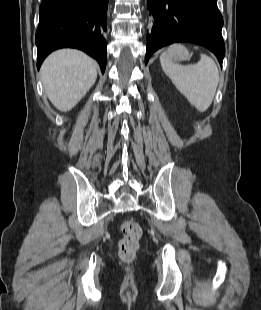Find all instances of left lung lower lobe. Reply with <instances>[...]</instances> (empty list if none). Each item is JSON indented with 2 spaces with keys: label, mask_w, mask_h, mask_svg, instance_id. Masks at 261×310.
<instances>
[{
  "label": "left lung lower lobe",
  "mask_w": 261,
  "mask_h": 310,
  "mask_svg": "<svg viewBox=\"0 0 261 310\" xmlns=\"http://www.w3.org/2000/svg\"><path fill=\"white\" fill-rule=\"evenodd\" d=\"M147 7L154 24L146 36L145 64L163 46L192 42L212 51L222 65L225 45L217 0H147Z\"/></svg>",
  "instance_id": "left-lung-lower-lobe-1"
}]
</instances>
